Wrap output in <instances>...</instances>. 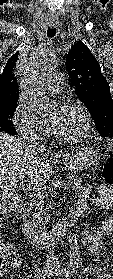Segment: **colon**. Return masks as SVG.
<instances>
[{
    "mask_svg": "<svg viewBox=\"0 0 113 279\" xmlns=\"http://www.w3.org/2000/svg\"><path fill=\"white\" fill-rule=\"evenodd\" d=\"M108 161L102 166L101 178L102 187L107 193L113 194V148H110ZM18 252L15 250H6L5 247L0 246V277L5 273L6 266L12 264L18 257Z\"/></svg>",
    "mask_w": 113,
    "mask_h": 279,
    "instance_id": "obj_1",
    "label": "colon"
}]
</instances>
